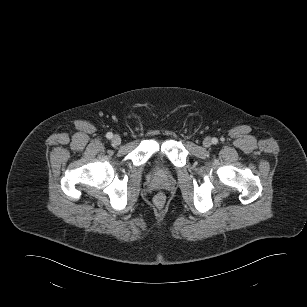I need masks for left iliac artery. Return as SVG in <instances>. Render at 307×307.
<instances>
[{
  "label": "left iliac artery",
  "mask_w": 307,
  "mask_h": 307,
  "mask_svg": "<svg viewBox=\"0 0 307 307\" xmlns=\"http://www.w3.org/2000/svg\"><path fill=\"white\" fill-rule=\"evenodd\" d=\"M217 141H218V140H217L216 138H213V139H212V143H213V144H216Z\"/></svg>",
  "instance_id": "44dca946"
}]
</instances>
